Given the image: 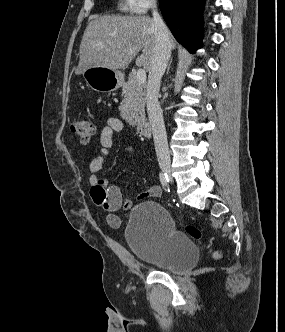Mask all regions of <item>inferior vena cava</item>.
I'll return each instance as SVG.
<instances>
[{
	"label": "inferior vena cava",
	"mask_w": 285,
	"mask_h": 332,
	"mask_svg": "<svg viewBox=\"0 0 285 332\" xmlns=\"http://www.w3.org/2000/svg\"><path fill=\"white\" fill-rule=\"evenodd\" d=\"M152 9L155 29V52L148 75L146 102L158 162L159 164H169L170 152L158 94L161 78L171 55V41L170 32L157 11L156 3L153 4Z\"/></svg>",
	"instance_id": "602c4592"
}]
</instances>
